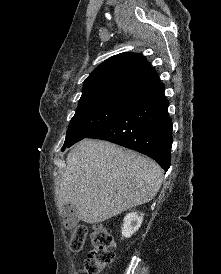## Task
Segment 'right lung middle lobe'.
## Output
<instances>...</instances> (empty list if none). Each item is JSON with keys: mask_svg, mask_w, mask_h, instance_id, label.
Instances as JSON below:
<instances>
[{"mask_svg": "<svg viewBox=\"0 0 221 274\" xmlns=\"http://www.w3.org/2000/svg\"><path fill=\"white\" fill-rule=\"evenodd\" d=\"M133 100L119 97L88 98L79 101L75 115L70 121L64 150L89 137L124 110Z\"/></svg>", "mask_w": 221, "mask_h": 274, "instance_id": "obj_1", "label": "right lung middle lobe"}]
</instances>
